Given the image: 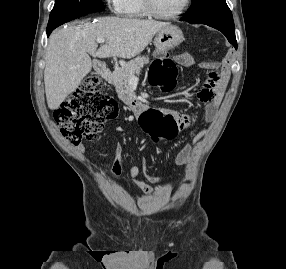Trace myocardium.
I'll return each mask as SVG.
<instances>
[{
  "mask_svg": "<svg viewBox=\"0 0 286 269\" xmlns=\"http://www.w3.org/2000/svg\"><path fill=\"white\" fill-rule=\"evenodd\" d=\"M191 0H185L183 5L177 11L170 14L159 13L154 5L152 0H142L143 8L147 15L156 18V19H173L182 15L190 6Z\"/></svg>",
  "mask_w": 286,
  "mask_h": 269,
  "instance_id": "f54148a6",
  "label": "myocardium"
}]
</instances>
